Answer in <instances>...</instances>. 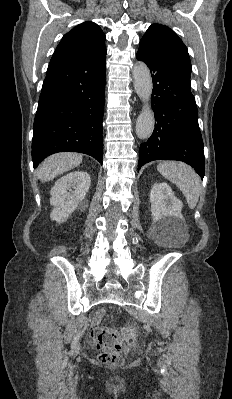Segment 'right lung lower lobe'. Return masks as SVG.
I'll return each mask as SVG.
<instances>
[{"instance_id": "right-lung-lower-lobe-1", "label": "right lung lower lobe", "mask_w": 232, "mask_h": 399, "mask_svg": "<svg viewBox=\"0 0 232 399\" xmlns=\"http://www.w3.org/2000/svg\"><path fill=\"white\" fill-rule=\"evenodd\" d=\"M106 55L50 62L34 120V168L47 156L74 151L102 164Z\"/></svg>"}]
</instances>
